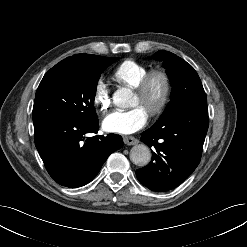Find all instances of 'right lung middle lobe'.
I'll list each match as a JSON object with an SVG mask.
<instances>
[{
	"label": "right lung middle lobe",
	"mask_w": 247,
	"mask_h": 247,
	"mask_svg": "<svg viewBox=\"0 0 247 247\" xmlns=\"http://www.w3.org/2000/svg\"><path fill=\"white\" fill-rule=\"evenodd\" d=\"M116 60L98 56L87 64L55 65L51 68L36 91L33 123L70 116L97 119L94 108L97 82L101 73Z\"/></svg>",
	"instance_id": "dd1d6c3e"
}]
</instances>
